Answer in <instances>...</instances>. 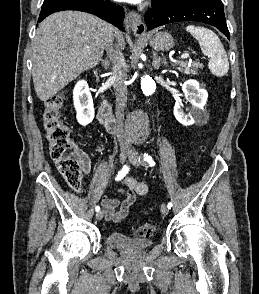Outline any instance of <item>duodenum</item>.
Returning <instances> with one entry per match:
<instances>
[{
	"instance_id": "410a0bca",
	"label": "duodenum",
	"mask_w": 259,
	"mask_h": 294,
	"mask_svg": "<svg viewBox=\"0 0 259 294\" xmlns=\"http://www.w3.org/2000/svg\"><path fill=\"white\" fill-rule=\"evenodd\" d=\"M97 118L99 122L103 124L108 131L114 132L117 130L118 123L104 95H101L100 97Z\"/></svg>"
}]
</instances>
